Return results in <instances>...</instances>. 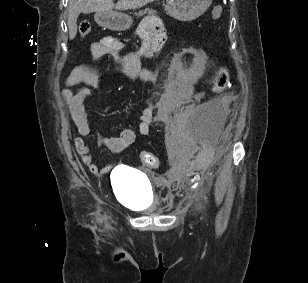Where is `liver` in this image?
<instances>
[{
	"mask_svg": "<svg viewBox=\"0 0 308 283\" xmlns=\"http://www.w3.org/2000/svg\"><path fill=\"white\" fill-rule=\"evenodd\" d=\"M154 0H118L114 4L113 0H69L68 5V31L72 40L77 34V18L81 13L93 12L112 13L116 10H130L143 7Z\"/></svg>",
	"mask_w": 308,
	"mask_h": 283,
	"instance_id": "obj_1",
	"label": "liver"
}]
</instances>
